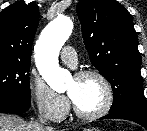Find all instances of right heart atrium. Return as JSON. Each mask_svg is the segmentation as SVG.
<instances>
[{
    "mask_svg": "<svg viewBox=\"0 0 147 131\" xmlns=\"http://www.w3.org/2000/svg\"><path fill=\"white\" fill-rule=\"evenodd\" d=\"M29 91L38 112L52 121L65 117L69 109L68 99L54 91L40 76L31 73Z\"/></svg>",
    "mask_w": 147,
    "mask_h": 131,
    "instance_id": "d8ad5b80",
    "label": "right heart atrium"
}]
</instances>
